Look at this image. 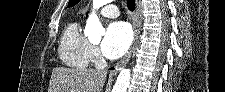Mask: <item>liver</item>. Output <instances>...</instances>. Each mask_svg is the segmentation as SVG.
<instances>
[{"instance_id":"obj_1","label":"liver","mask_w":225,"mask_h":92,"mask_svg":"<svg viewBox=\"0 0 225 92\" xmlns=\"http://www.w3.org/2000/svg\"><path fill=\"white\" fill-rule=\"evenodd\" d=\"M105 70L56 67L52 70L48 92H102Z\"/></svg>"}]
</instances>
